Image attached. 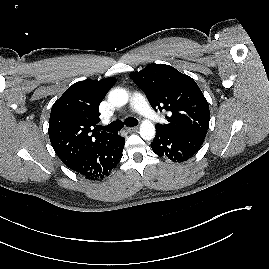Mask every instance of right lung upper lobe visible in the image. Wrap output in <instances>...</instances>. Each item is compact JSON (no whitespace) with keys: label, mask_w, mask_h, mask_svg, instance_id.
Instances as JSON below:
<instances>
[{"label":"right lung upper lobe","mask_w":269,"mask_h":269,"mask_svg":"<svg viewBox=\"0 0 269 269\" xmlns=\"http://www.w3.org/2000/svg\"><path fill=\"white\" fill-rule=\"evenodd\" d=\"M116 79L79 81L70 86L53 104L49 138L58 157L68 167L114 134L97 132L99 104Z\"/></svg>","instance_id":"obj_1"}]
</instances>
